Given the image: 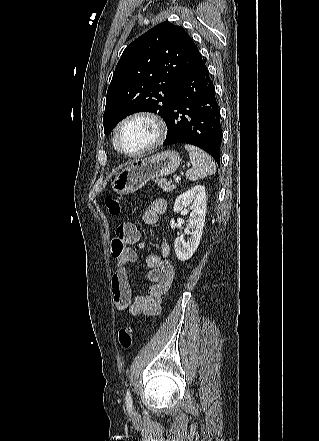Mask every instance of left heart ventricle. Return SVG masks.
Segmentation results:
<instances>
[{
  "label": "left heart ventricle",
  "mask_w": 319,
  "mask_h": 441,
  "mask_svg": "<svg viewBox=\"0 0 319 441\" xmlns=\"http://www.w3.org/2000/svg\"><path fill=\"white\" fill-rule=\"evenodd\" d=\"M154 134V127L150 122L134 120L123 127L119 140L124 150L134 152L149 144Z\"/></svg>",
  "instance_id": "b2bd125f"
}]
</instances>
